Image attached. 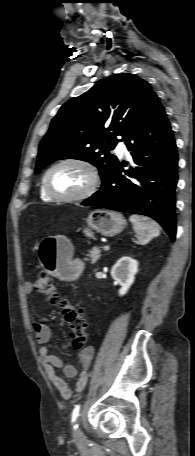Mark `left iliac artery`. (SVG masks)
Returning <instances> with one entry per match:
<instances>
[{
	"label": "left iliac artery",
	"instance_id": "44dca946",
	"mask_svg": "<svg viewBox=\"0 0 195 456\" xmlns=\"http://www.w3.org/2000/svg\"><path fill=\"white\" fill-rule=\"evenodd\" d=\"M80 405H76L72 412V422L74 423L79 415ZM74 429L77 428V425L73 426Z\"/></svg>",
	"mask_w": 195,
	"mask_h": 456
}]
</instances>
